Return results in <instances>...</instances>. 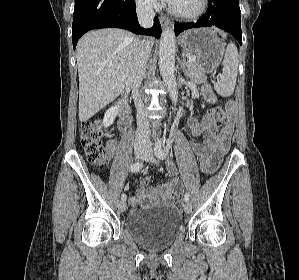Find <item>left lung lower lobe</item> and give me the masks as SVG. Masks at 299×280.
<instances>
[{
  "instance_id": "1",
  "label": "left lung lower lobe",
  "mask_w": 299,
  "mask_h": 280,
  "mask_svg": "<svg viewBox=\"0 0 299 280\" xmlns=\"http://www.w3.org/2000/svg\"><path fill=\"white\" fill-rule=\"evenodd\" d=\"M216 26L232 34L242 45L241 11L239 0H209L206 13L196 22L176 23L175 34L198 27Z\"/></svg>"
}]
</instances>
